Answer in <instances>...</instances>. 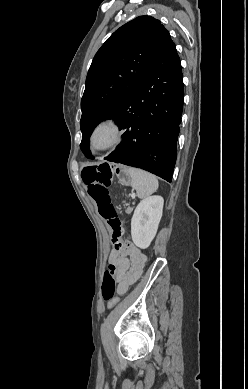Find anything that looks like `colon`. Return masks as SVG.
<instances>
[{
  "label": "colon",
  "mask_w": 248,
  "mask_h": 389,
  "mask_svg": "<svg viewBox=\"0 0 248 389\" xmlns=\"http://www.w3.org/2000/svg\"><path fill=\"white\" fill-rule=\"evenodd\" d=\"M110 161H99L98 166L87 167L83 171V180L88 187L90 196L95 200L100 215L108 221L111 228V238L115 249L122 246L123 225L121 219L111 202L108 188L111 185L113 171ZM116 266L109 264L105 271L101 293L108 307H113L118 302L116 297Z\"/></svg>",
  "instance_id": "5ec220e1"
}]
</instances>
